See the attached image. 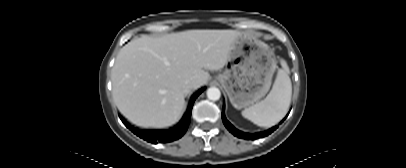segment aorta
<instances>
[{"mask_svg": "<svg viewBox=\"0 0 406 168\" xmlns=\"http://www.w3.org/2000/svg\"><path fill=\"white\" fill-rule=\"evenodd\" d=\"M207 97L208 99L212 100V101H217L219 100L220 96H221V92L217 87H210L207 90Z\"/></svg>", "mask_w": 406, "mask_h": 168, "instance_id": "762f6f07", "label": "aorta"}]
</instances>
